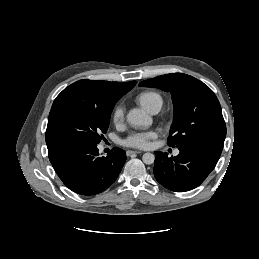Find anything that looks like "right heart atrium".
<instances>
[{
  "label": "right heart atrium",
  "mask_w": 259,
  "mask_h": 259,
  "mask_svg": "<svg viewBox=\"0 0 259 259\" xmlns=\"http://www.w3.org/2000/svg\"><path fill=\"white\" fill-rule=\"evenodd\" d=\"M112 122L116 125L119 126L123 123L124 121V109L122 106H117L111 115Z\"/></svg>",
  "instance_id": "1"
}]
</instances>
